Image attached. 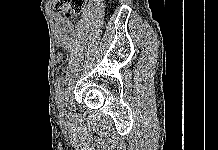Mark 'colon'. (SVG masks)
Instances as JSON below:
<instances>
[{
  "instance_id": "5ec220e1",
  "label": "colon",
  "mask_w": 218,
  "mask_h": 150,
  "mask_svg": "<svg viewBox=\"0 0 218 150\" xmlns=\"http://www.w3.org/2000/svg\"><path fill=\"white\" fill-rule=\"evenodd\" d=\"M86 0H55L54 8L65 18L76 17L82 10Z\"/></svg>"
}]
</instances>
